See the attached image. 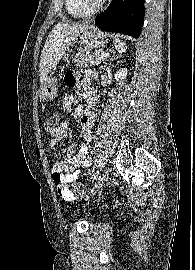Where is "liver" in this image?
I'll use <instances>...</instances> for the list:
<instances>
[{"mask_svg":"<svg viewBox=\"0 0 195 270\" xmlns=\"http://www.w3.org/2000/svg\"><path fill=\"white\" fill-rule=\"evenodd\" d=\"M88 28V23L60 22L55 25L46 39L40 57L39 76L41 86L46 81L49 72L56 67L65 55L70 44Z\"/></svg>","mask_w":195,"mask_h":270,"instance_id":"1","label":"liver"}]
</instances>
